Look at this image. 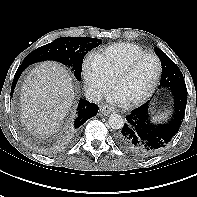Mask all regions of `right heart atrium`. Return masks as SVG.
Instances as JSON below:
<instances>
[{"mask_svg": "<svg viewBox=\"0 0 197 197\" xmlns=\"http://www.w3.org/2000/svg\"><path fill=\"white\" fill-rule=\"evenodd\" d=\"M83 77L89 95L96 100L105 96L113 86V79L96 68L91 61L85 63Z\"/></svg>", "mask_w": 197, "mask_h": 197, "instance_id": "right-heart-atrium-1", "label": "right heart atrium"}]
</instances>
